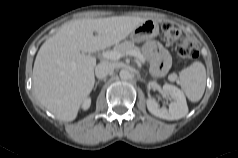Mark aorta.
Instances as JSON below:
<instances>
[{"instance_id":"aorta-1","label":"aorta","mask_w":238,"mask_h":158,"mask_svg":"<svg viewBox=\"0 0 238 158\" xmlns=\"http://www.w3.org/2000/svg\"><path fill=\"white\" fill-rule=\"evenodd\" d=\"M119 75L122 80H128L131 78V73L126 69H122Z\"/></svg>"}]
</instances>
